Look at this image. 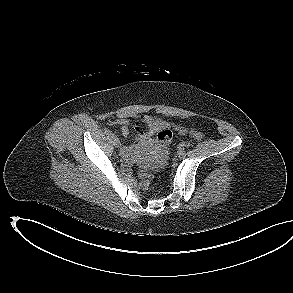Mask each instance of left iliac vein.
Here are the masks:
<instances>
[{"instance_id":"left-iliac-vein-1","label":"left iliac vein","mask_w":293,"mask_h":293,"mask_svg":"<svg viewBox=\"0 0 293 293\" xmlns=\"http://www.w3.org/2000/svg\"><path fill=\"white\" fill-rule=\"evenodd\" d=\"M185 156H186L185 151H180V152L178 153V157H179L180 159L185 158Z\"/></svg>"}]
</instances>
